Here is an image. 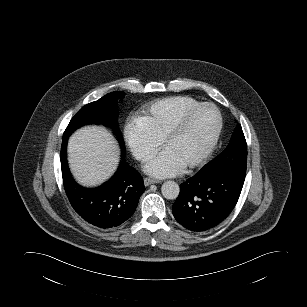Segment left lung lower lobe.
I'll list each match as a JSON object with an SVG mask.
<instances>
[{
	"label": "left lung lower lobe",
	"mask_w": 307,
	"mask_h": 307,
	"mask_svg": "<svg viewBox=\"0 0 307 307\" xmlns=\"http://www.w3.org/2000/svg\"><path fill=\"white\" fill-rule=\"evenodd\" d=\"M245 175L246 168L200 170L180 185L172 207L175 219L191 231L215 228L235 207Z\"/></svg>",
	"instance_id": "1"
}]
</instances>
